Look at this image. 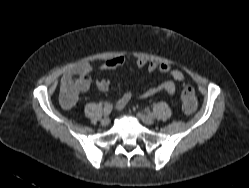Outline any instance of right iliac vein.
<instances>
[{
  "label": "right iliac vein",
  "mask_w": 249,
  "mask_h": 188,
  "mask_svg": "<svg viewBox=\"0 0 249 188\" xmlns=\"http://www.w3.org/2000/svg\"><path fill=\"white\" fill-rule=\"evenodd\" d=\"M110 123V118L109 117H105L101 120V125L102 126H107Z\"/></svg>",
  "instance_id": "right-iliac-vein-1"
}]
</instances>
